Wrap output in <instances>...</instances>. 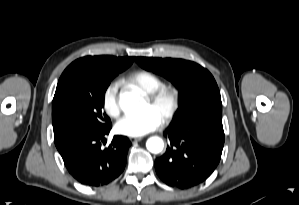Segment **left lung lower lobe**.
<instances>
[{"instance_id":"0a47b994","label":"left lung lower lobe","mask_w":299,"mask_h":205,"mask_svg":"<svg viewBox=\"0 0 299 205\" xmlns=\"http://www.w3.org/2000/svg\"><path fill=\"white\" fill-rule=\"evenodd\" d=\"M165 136L170 146L156 159V172L169 186L191 188L205 181L221 159L225 139L222 115L171 123Z\"/></svg>"}]
</instances>
